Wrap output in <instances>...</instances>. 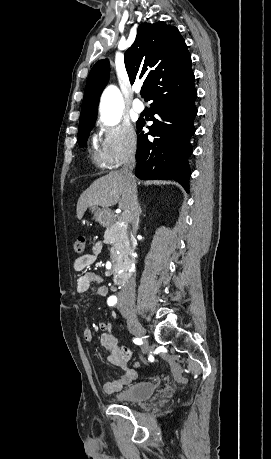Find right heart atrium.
Wrapping results in <instances>:
<instances>
[{
	"instance_id": "obj_1",
	"label": "right heart atrium",
	"mask_w": 271,
	"mask_h": 459,
	"mask_svg": "<svg viewBox=\"0 0 271 459\" xmlns=\"http://www.w3.org/2000/svg\"><path fill=\"white\" fill-rule=\"evenodd\" d=\"M93 140L97 146L98 162L108 169L118 167L135 152L137 146L135 131L127 123L105 128L98 122Z\"/></svg>"
}]
</instances>
